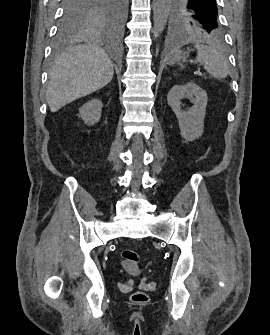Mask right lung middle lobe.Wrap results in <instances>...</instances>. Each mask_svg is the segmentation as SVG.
<instances>
[{
    "label": "right lung middle lobe",
    "instance_id": "1",
    "mask_svg": "<svg viewBox=\"0 0 270 335\" xmlns=\"http://www.w3.org/2000/svg\"><path fill=\"white\" fill-rule=\"evenodd\" d=\"M57 45L78 33L97 28L120 29L124 23L127 0H64Z\"/></svg>",
    "mask_w": 270,
    "mask_h": 335
}]
</instances>
